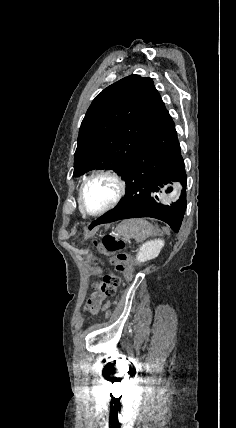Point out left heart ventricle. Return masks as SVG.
I'll use <instances>...</instances> for the list:
<instances>
[{
    "instance_id": "left-heart-ventricle-1",
    "label": "left heart ventricle",
    "mask_w": 236,
    "mask_h": 428,
    "mask_svg": "<svg viewBox=\"0 0 236 428\" xmlns=\"http://www.w3.org/2000/svg\"><path fill=\"white\" fill-rule=\"evenodd\" d=\"M116 191L117 186L111 179H95L85 187L84 200L86 206L92 211L101 209L112 201Z\"/></svg>"
}]
</instances>
